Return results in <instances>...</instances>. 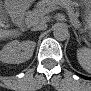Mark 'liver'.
<instances>
[{
  "label": "liver",
  "mask_w": 91,
  "mask_h": 91,
  "mask_svg": "<svg viewBox=\"0 0 91 91\" xmlns=\"http://www.w3.org/2000/svg\"><path fill=\"white\" fill-rule=\"evenodd\" d=\"M35 21H37V20L33 19V23L32 24H35L36 23ZM18 35H19V32H17V31H5L2 34L3 37H16Z\"/></svg>",
  "instance_id": "1"
}]
</instances>
